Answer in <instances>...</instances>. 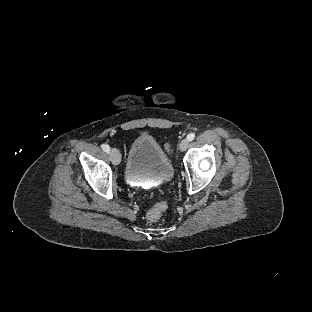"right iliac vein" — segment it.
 <instances>
[{"mask_svg": "<svg viewBox=\"0 0 312 312\" xmlns=\"http://www.w3.org/2000/svg\"><path fill=\"white\" fill-rule=\"evenodd\" d=\"M111 161L114 165H119L121 162V156L116 148H111L109 151Z\"/></svg>", "mask_w": 312, "mask_h": 312, "instance_id": "right-iliac-vein-1", "label": "right iliac vein"}]
</instances>
